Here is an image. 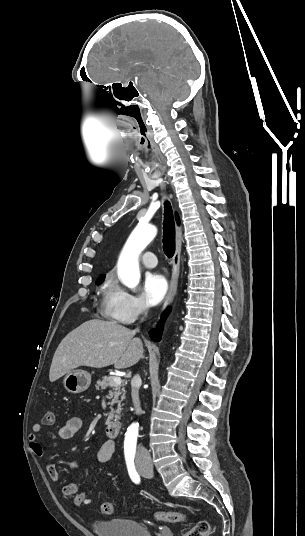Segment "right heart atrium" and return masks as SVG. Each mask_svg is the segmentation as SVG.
Here are the masks:
<instances>
[{
	"instance_id": "right-heart-atrium-1",
	"label": "right heart atrium",
	"mask_w": 305,
	"mask_h": 536,
	"mask_svg": "<svg viewBox=\"0 0 305 536\" xmlns=\"http://www.w3.org/2000/svg\"><path fill=\"white\" fill-rule=\"evenodd\" d=\"M148 311L149 305L143 298L133 295L120 286L112 285L105 303V313L108 317L121 324H131Z\"/></svg>"
}]
</instances>
